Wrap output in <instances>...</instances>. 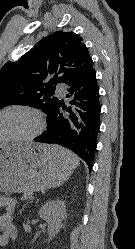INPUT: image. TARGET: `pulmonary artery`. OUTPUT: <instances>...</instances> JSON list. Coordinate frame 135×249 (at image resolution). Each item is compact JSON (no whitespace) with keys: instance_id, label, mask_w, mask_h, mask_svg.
<instances>
[{"instance_id":"pulmonary-artery-1","label":"pulmonary artery","mask_w":135,"mask_h":249,"mask_svg":"<svg viewBox=\"0 0 135 249\" xmlns=\"http://www.w3.org/2000/svg\"><path fill=\"white\" fill-rule=\"evenodd\" d=\"M56 91L59 95H64L65 94V87L64 85H58L56 88Z\"/></svg>"}]
</instances>
